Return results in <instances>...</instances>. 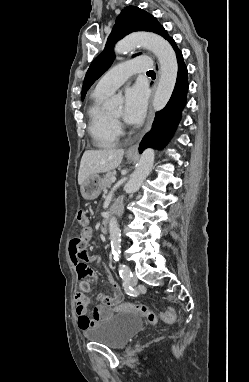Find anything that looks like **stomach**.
<instances>
[{"label": "stomach", "instance_id": "obj_1", "mask_svg": "<svg viewBox=\"0 0 249 382\" xmlns=\"http://www.w3.org/2000/svg\"><path fill=\"white\" fill-rule=\"evenodd\" d=\"M128 159H134V156L128 155ZM101 177L98 174L89 176L81 186V195L86 200H93L101 193Z\"/></svg>", "mask_w": 249, "mask_h": 382}]
</instances>
